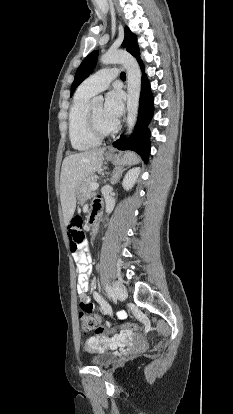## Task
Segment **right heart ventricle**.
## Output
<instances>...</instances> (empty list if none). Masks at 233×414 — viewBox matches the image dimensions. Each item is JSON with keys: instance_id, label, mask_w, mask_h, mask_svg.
Here are the masks:
<instances>
[{"instance_id": "right-heart-ventricle-1", "label": "right heart ventricle", "mask_w": 233, "mask_h": 414, "mask_svg": "<svg viewBox=\"0 0 233 414\" xmlns=\"http://www.w3.org/2000/svg\"><path fill=\"white\" fill-rule=\"evenodd\" d=\"M92 95L78 89L73 98L68 115V133L74 149L84 151L95 148L100 140L93 137L86 127V111L88 101Z\"/></svg>"}]
</instances>
